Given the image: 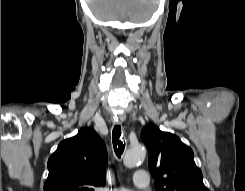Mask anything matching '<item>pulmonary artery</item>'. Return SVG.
Here are the masks:
<instances>
[{
  "label": "pulmonary artery",
  "mask_w": 245,
  "mask_h": 191,
  "mask_svg": "<svg viewBox=\"0 0 245 191\" xmlns=\"http://www.w3.org/2000/svg\"><path fill=\"white\" fill-rule=\"evenodd\" d=\"M150 181L149 174L146 170L139 169L133 175V183L136 188L145 189L148 187ZM109 191V190H106ZM110 191H131L128 188H118Z\"/></svg>",
  "instance_id": "obj_1"
}]
</instances>
